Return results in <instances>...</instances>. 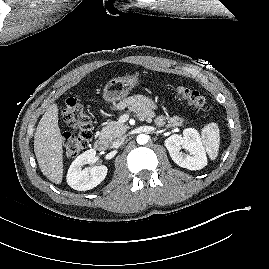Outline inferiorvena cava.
<instances>
[{
  "label": "inferior vena cava",
  "instance_id": "obj_1",
  "mask_svg": "<svg viewBox=\"0 0 269 269\" xmlns=\"http://www.w3.org/2000/svg\"><path fill=\"white\" fill-rule=\"evenodd\" d=\"M125 137H120L113 142V147L118 148L124 141Z\"/></svg>",
  "mask_w": 269,
  "mask_h": 269
}]
</instances>
